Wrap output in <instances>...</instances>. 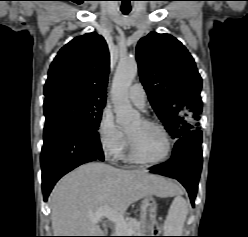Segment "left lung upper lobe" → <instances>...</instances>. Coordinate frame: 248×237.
Segmentation results:
<instances>
[{"instance_id":"left-lung-upper-lobe-1","label":"left lung upper lobe","mask_w":248,"mask_h":237,"mask_svg":"<svg viewBox=\"0 0 248 237\" xmlns=\"http://www.w3.org/2000/svg\"><path fill=\"white\" fill-rule=\"evenodd\" d=\"M140 80L172 138L199 127L202 79L193 57L169 34L151 32L136 47Z\"/></svg>"}]
</instances>
